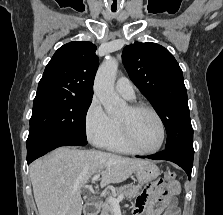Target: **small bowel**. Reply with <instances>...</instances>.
<instances>
[{
    "mask_svg": "<svg viewBox=\"0 0 223 215\" xmlns=\"http://www.w3.org/2000/svg\"><path fill=\"white\" fill-rule=\"evenodd\" d=\"M180 192V184L177 181L156 180L145 187L138 195L133 209L134 215H143L150 202H156L165 208L163 215H178L175 196ZM161 208L148 210L147 215H160Z\"/></svg>",
    "mask_w": 223,
    "mask_h": 215,
    "instance_id": "c3829d8e",
    "label": "small bowel"
}]
</instances>
